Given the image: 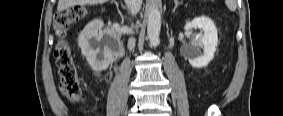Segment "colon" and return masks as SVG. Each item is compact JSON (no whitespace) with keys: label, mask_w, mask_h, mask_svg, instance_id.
Segmentation results:
<instances>
[{"label":"colon","mask_w":283,"mask_h":116,"mask_svg":"<svg viewBox=\"0 0 283 116\" xmlns=\"http://www.w3.org/2000/svg\"><path fill=\"white\" fill-rule=\"evenodd\" d=\"M85 14L86 9L84 6L75 5L66 11L58 13L54 19V33L58 37L54 55L60 75L59 88L70 101L78 100L81 97L82 89L72 50L65 40V35L68 28L81 20Z\"/></svg>","instance_id":"1"}]
</instances>
